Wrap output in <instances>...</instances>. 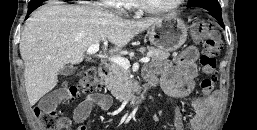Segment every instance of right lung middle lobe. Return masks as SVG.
Segmentation results:
<instances>
[{
  "label": "right lung middle lobe",
  "instance_id": "obj_1",
  "mask_svg": "<svg viewBox=\"0 0 257 130\" xmlns=\"http://www.w3.org/2000/svg\"><path fill=\"white\" fill-rule=\"evenodd\" d=\"M40 0H31V2L28 5V9L35 10L37 7L41 5Z\"/></svg>",
  "mask_w": 257,
  "mask_h": 130
}]
</instances>
